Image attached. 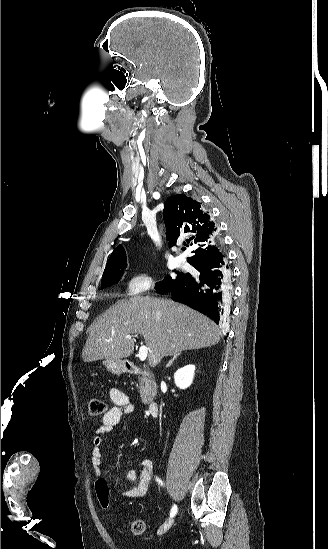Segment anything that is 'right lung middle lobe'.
Masks as SVG:
<instances>
[{
  "label": "right lung middle lobe",
  "instance_id": "dd1d6c3e",
  "mask_svg": "<svg viewBox=\"0 0 328 549\" xmlns=\"http://www.w3.org/2000/svg\"><path fill=\"white\" fill-rule=\"evenodd\" d=\"M126 267V260H123L109 269L105 270L102 276V282H101V289L105 288L106 286L118 282L123 274V268ZM177 276L175 278H172L171 276H167L162 282H158L155 286V289L158 291H161L165 288H168L178 282H181L182 280L189 277L191 274L189 273H182V272H176Z\"/></svg>",
  "mask_w": 328,
  "mask_h": 549
}]
</instances>
